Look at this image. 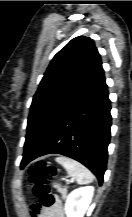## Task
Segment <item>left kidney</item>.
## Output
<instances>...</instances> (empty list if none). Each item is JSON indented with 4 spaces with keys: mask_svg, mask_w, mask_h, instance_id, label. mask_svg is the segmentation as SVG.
<instances>
[{
    "mask_svg": "<svg viewBox=\"0 0 132 217\" xmlns=\"http://www.w3.org/2000/svg\"><path fill=\"white\" fill-rule=\"evenodd\" d=\"M94 194V187L85 186L73 190L67 197L65 213L67 217H83Z\"/></svg>",
    "mask_w": 132,
    "mask_h": 217,
    "instance_id": "obj_1",
    "label": "left kidney"
}]
</instances>
